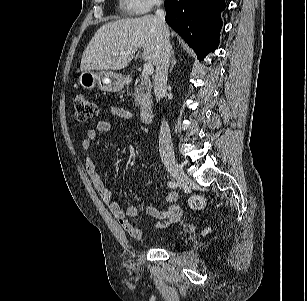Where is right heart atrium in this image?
Segmentation results:
<instances>
[{
	"label": "right heart atrium",
	"instance_id": "d8ad5b80",
	"mask_svg": "<svg viewBox=\"0 0 307 301\" xmlns=\"http://www.w3.org/2000/svg\"><path fill=\"white\" fill-rule=\"evenodd\" d=\"M129 11L135 14L149 12L160 5V0H122Z\"/></svg>",
	"mask_w": 307,
	"mask_h": 301
}]
</instances>
